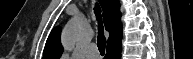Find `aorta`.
<instances>
[{"instance_id": "762f6f07", "label": "aorta", "mask_w": 193, "mask_h": 59, "mask_svg": "<svg viewBox=\"0 0 193 59\" xmlns=\"http://www.w3.org/2000/svg\"><path fill=\"white\" fill-rule=\"evenodd\" d=\"M79 28V21L75 18L70 20L66 25L62 34V43L66 49H71L73 47Z\"/></svg>"}]
</instances>
